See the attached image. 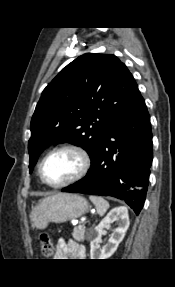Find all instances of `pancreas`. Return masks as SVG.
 Masks as SVG:
<instances>
[{
	"mask_svg": "<svg viewBox=\"0 0 175 287\" xmlns=\"http://www.w3.org/2000/svg\"><path fill=\"white\" fill-rule=\"evenodd\" d=\"M72 236L77 241H84L85 239V227L84 226H76L72 232Z\"/></svg>",
	"mask_w": 175,
	"mask_h": 287,
	"instance_id": "cf45deb5",
	"label": "pancreas"
}]
</instances>
